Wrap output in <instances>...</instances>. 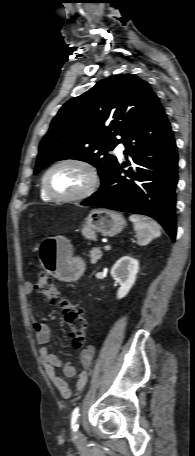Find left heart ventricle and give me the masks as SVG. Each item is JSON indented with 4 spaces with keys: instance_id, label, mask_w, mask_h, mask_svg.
I'll use <instances>...</instances> for the list:
<instances>
[{
    "instance_id": "left-heart-ventricle-1",
    "label": "left heart ventricle",
    "mask_w": 195,
    "mask_h": 456,
    "mask_svg": "<svg viewBox=\"0 0 195 456\" xmlns=\"http://www.w3.org/2000/svg\"><path fill=\"white\" fill-rule=\"evenodd\" d=\"M89 183L87 171L74 164L55 168L48 177L50 189L58 195L69 196L83 191Z\"/></svg>"
}]
</instances>
